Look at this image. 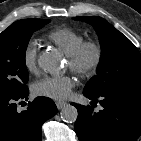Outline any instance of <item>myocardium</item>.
I'll return each mask as SVG.
<instances>
[{
  "instance_id": "1",
  "label": "myocardium",
  "mask_w": 141,
  "mask_h": 141,
  "mask_svg": "<svg viewBox=\"0 0 141 141\" xmlns=\"http://www.w3.org/2000/svg\"><path fill=\"white\" fill-rule=\"evenodd\" d=\"M103 56V47L98 41H84L74 52L68 55L69 68L79 78L89 79L98 71Z\"/></svg>"
}]
</instances>
